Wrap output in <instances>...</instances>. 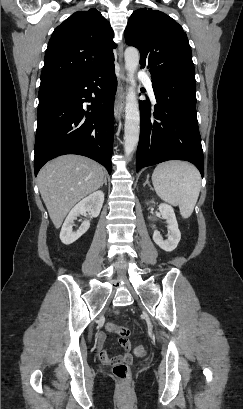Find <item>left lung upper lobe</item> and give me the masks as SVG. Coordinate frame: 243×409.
Segmentation results:
<instances>
[{"label": "left lung upper lobe", "instance_id": "obj_1", "mask_svg": "<svg viewBox=\"0 0 243 409\" xmlns=\"http://www.w3.org/2000/svg\"><path fill=\"white\" fill-rule=\"evenodd\" d=\"M125 40L140 51L141 67L149 68L152 79L169 72H194L186 33L163 12L150 8L134 11L125 29Z\"/></svg>", "mask_w": 243, "mask_h": 409}]
</instances>
